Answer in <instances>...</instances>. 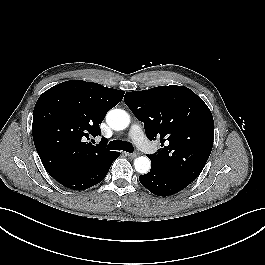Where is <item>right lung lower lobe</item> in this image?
Listing matches in <instances>:
<instances>
[{
  "instance_id": "1",
  "label": "right lung lower lobe",
  "mask_w": 265,
  "mask_h": 265,
  "mask_svg": "<svg viewBox=\"0 0 265 265\" xmlns=\"http://www.w3.org/2000/svg\"><path fill=\"white\" fill-rule=\"evenodd\" d=\"M119 152L107 157L102 163L79 168L54 176L60 184L73 190H84L101 182L107 175L112 162L118 158Z\"/></svg>"
}]
</instances>
